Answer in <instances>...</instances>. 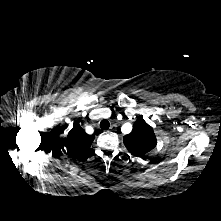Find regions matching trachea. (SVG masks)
<instances>
[{"instance_id": "1", "label": "trachea", "mask_w": 221, "mask_h": 221, "mask_svg": "<svg viewBox=\"0 0 221 221\" xmlns=\"http://www.w3.org/2000/svg\"><path fill=\"white\" fill-rule=\"evenodd\" d=\"M110 127V123L107 120H102L100 122V128L103 130H108Z\"/></svg>"}]
</instances>
